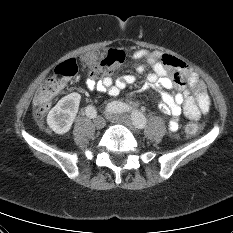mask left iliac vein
<instances>
[{"instance_id": "4c4485c4", "label": "left iliac vein", "mask_w": 233, "mask_h": 233, "mask_svg": "<svg viewBox=\"0 0 233 233\" xmlns=\"http://www.w3.org/2000/svg\"><path fill=\"white\" fill-rule=\"evenodd\" d=\"M105 117L113 123L122 124L131 130H136V127L134 126L132 119L127 114H124V113L117 114V113L110 112L107 110L105 112Z\"/></svg>"}]
</instances>
